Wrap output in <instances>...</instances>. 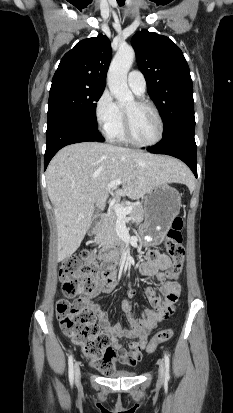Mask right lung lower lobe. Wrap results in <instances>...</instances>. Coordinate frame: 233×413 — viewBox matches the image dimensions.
<instances>
[{
	"mask_svg": "<svg viewBox=\"0 0 233 413\" xmlns=\"http://www.w3.org/2000/svg\"><path fill=\"white\" fill-rule=\"evenodd\" d=\"M86 141L103 142L104 139L97 128L73 118L57 117L48 121L44 169L64 146Z\"/></svg>",
	"mask_w": 233,
	"mask_h": 413,
	"instance_id": "right-lung-lower-lobe-1",
	"label": "right lung lower lobe"
}]
</instances>
